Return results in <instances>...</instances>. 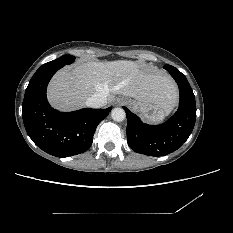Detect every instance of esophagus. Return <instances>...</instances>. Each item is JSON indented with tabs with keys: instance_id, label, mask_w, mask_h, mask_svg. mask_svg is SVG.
<instances>
[{
	"instance_id": "obj_1",
	"label": "esophagus",
	"mask_w": 233,
	"mask_h": 233,
	"mask_svg": "<svg viewBox=\"0 0 233 233\" xmlns=\"http://www.w3.org/2000/svg\"><path fill=\"white\" fill-rule=\"evenodd\" d=\"M126 103V101L123 99V98H117L116 100H115V104L116 105H123V104H125Z\"/></svg>"
}]
</instances>
